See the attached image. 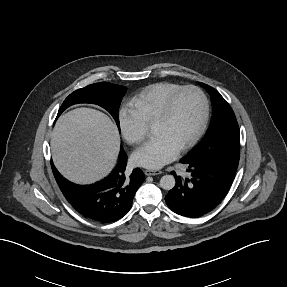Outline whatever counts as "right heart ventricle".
<instances>
[{
	"label": "right heart ventricle",
	"instance_id": "1",
	"mask_svg": "<svg viewBox=\"0 0 287 287\" xmlns=\"http://www.w3.org/2000/svg\"><path fill=\"white\" fill-rule=\"evenodd\" d=\"M181 86L172 82H160L150 85L134 96L129 106L146 125L154 122L166 99Z\"/></svg>",
	"mask_w": 287,
	"mask_h": 287
}]
</instances>
